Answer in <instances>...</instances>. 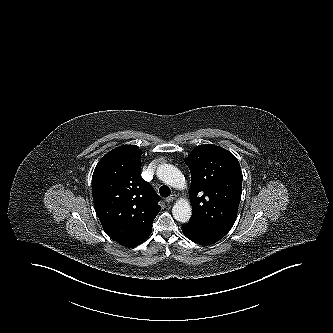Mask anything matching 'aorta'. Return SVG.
I'll use <instances>...</instances> for the list:
<instances>
[{
	"label": "aorta",
	"mask_w": 333,
	"mask_h": 333,
	"mask_svg": "<svg viewBox=\"0 0 333 333\" xmlns=\"http://www.w3.org/2000/svg\"><path fill=\"white\" fill-rule=\"evenodd\" d=\"M157 176L164 183L174 188H182L185 186L184 176L181 171L173 165H160L157 168ZM172 215L174 219L179 222H188L192 215L190 203L185 199H179L172 208Z\"/></svg>",
	"instance_id": "aorta-1"
}]
</instances>
